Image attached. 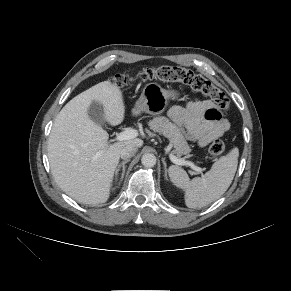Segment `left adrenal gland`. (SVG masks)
Segmentation results:
<instances>
[{
	"label": "left adrenal gland",
	"mask_w": 291,
	"mask_h": 291,
	"mask_svg": "<svg viewBox=\"0 0 291 291\" xmlns=\"http://www.w3.org/2000/svg\"><path fill=\"white\" fill-rule=\"evenodd\" d=\"M163 165H164V175H165V179H167V164L165 161V158L162 159Z\"/></svg>",
	"instance_id": "a2214340"
}]
</instances>
